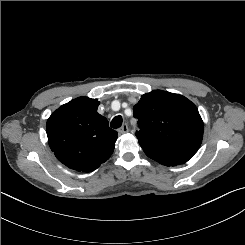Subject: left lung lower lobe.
<instances>
[{"mask_svg":"<svg viewBox=\"0 0 245 245\" xmlns=\"http://www.w3.org/2000/svg\"><path fill=\"white\" fill-rule=\"evenodd\" d=\"M139 144L148 157L154 159L155 161L165 166H176L178 164H183L190 159L181 155L171 154L162 151L144 143Z\"/></svg>","mask_w":245,"mask_h":245,"instance_id":"1","label":"left lung lower lobe"}]
</instances>
